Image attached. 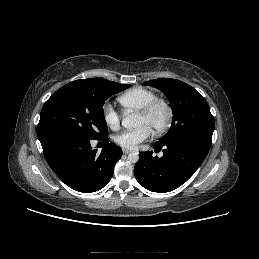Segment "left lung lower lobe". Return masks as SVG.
<instances>
[{"label":"left lung lower lobe","mask_w":259,"mask_h":259,"mask_svg":"<svg viewBox=\"0 0 259 259\" xmlns=\"http://www.w3.org/2000/svg\"><path fill=\"white\" fill-rule=\"evenodd\" d=\"M211 143L199 138H178L156 143L155 151L163 148L161 158L153 152L139 153L134 174L144 188L152 192H169L185 183L206 158Z\"/></svg>","instance_id":"left-lung-lower-lobe-1"}]
</instances>
